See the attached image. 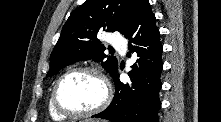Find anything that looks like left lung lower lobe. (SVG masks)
I'll use <instances>...</instances> for the list:
<instances>
[{
    "label": "left lung lower lobe",
    "instance_id": "obj_1",
    "mask_svg": "<svg viewBox=\"0 0 221 122\" xmlns=\"http://www.w3.org/2000/svg\"><path fill=\"white\" fill-rule=\"evenodd\" d=\"M155 20L149 1L138 0L130 26L124 34L129 40L130 53L136 52L139 57L132 72L135 90L120 82L116 72L113 76L116 90L113 101L93 117L112 122H158L163 48Z\"/></svg>",
    "mask_w": 221,
    "mask_h": 122
}]
</instances>
